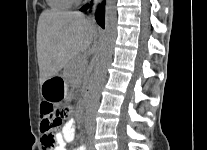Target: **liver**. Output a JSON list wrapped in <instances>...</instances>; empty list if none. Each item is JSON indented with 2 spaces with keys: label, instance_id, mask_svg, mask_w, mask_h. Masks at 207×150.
<instances>
[{
  "label": "liver",
  "instance_id": "obj_1",
  "mask_svg": "<svg viewBox=\"0 0 207 150\" xmlns=\"http://www.w3.org/2000/svg\"><path fill=\"white\" fill-rule=\"evenodd\" d=\"M96 33L95 26L82 13L44 11L37 26L40 84L85 52Z\"/></svg>",
  "mask_w": 207,
  "mask_h": 150
}]
</instances>
